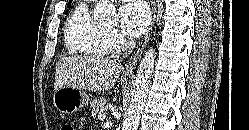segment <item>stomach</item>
<instances>
[{
    "label": "stomach",
    "mask_w": 249,
    "mask_h": 130,
    "mask_svg": "<svg viewBox=\"0 0 249 130\" xmlns=\"http://www.w3.org/2000/svg\"><path fill=\"white\" fill-rule=\"evenodd\" d=\"M89 100V96L84 91L72 87L58 89L53 97L56 109L65 114H73L80 108L87 106Z\"/></svg>",
    "instance_id": "0dacf381"
}]
</instances>
